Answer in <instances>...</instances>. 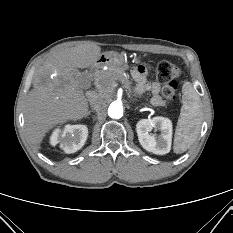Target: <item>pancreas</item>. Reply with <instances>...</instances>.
<instances>
[{
    "label": "pancreas",
    "instance_id": "pancreas-1",
    "mask_svg": "<svg viewBox=\"0 0 233 233\" xmlns=\"http://www.w3.org/2000/svg\"><path fill=\"white\" fill-rule=\"evenodd\" d=\"M96 80L103 86L104 89L110 90L112 84L120 81L124 86L130 85L129 81L125 78L123 70L119 68H109L108 70H100L96 75Z\"/></svg>",
    "mask_w": 233,
    "mask_h": 233
}]
</instances>
